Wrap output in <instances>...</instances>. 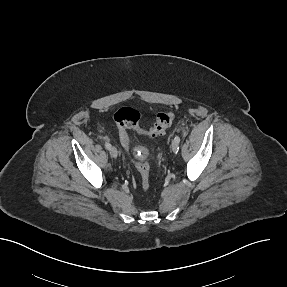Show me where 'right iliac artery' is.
<instances>
[{"label":"right iliac artery","instance_id":"82829eb1","mask_svg":"<svg viewBox=\"0 0 287 287\" xmlns=\"http://www.w3.org/2000/svg\"><path fill=\"white\" fill-rule=\"evenodd\" d=\"M105 147H106V149L109 150V149L111 148V144H109L108 142H106V143H105Z\"/></svg>","mask_w":287,"mask_h":287}]
</instances>
